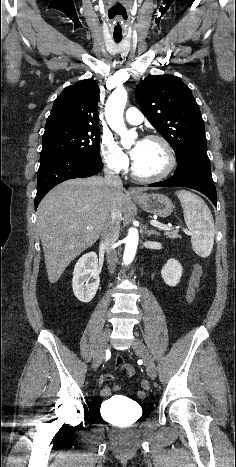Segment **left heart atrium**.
<instances>
[{"label":"left heart atrium","instance_id":"39dd6f15","mask_svg":"<svg viewBox=\"0 0 236 467\" xmlns=\"http://www.w3.org/2000/svg\"><path fill=\"white\" fill-rule=\"evenodd\" d=\"M142 142H143V140L138 141L137 144L134 146V148L131 151V156H132V158L134 160H136L137 157L139 156Z\"/></svg>","mask_w":236,"mask_h":467}]
</instances>
